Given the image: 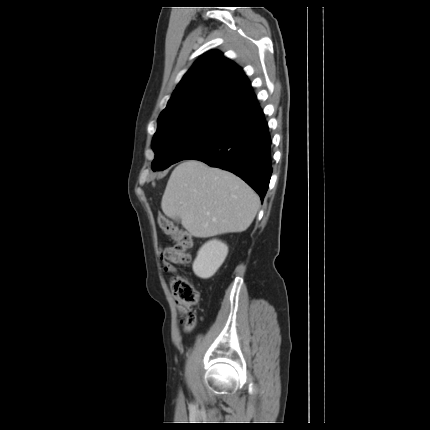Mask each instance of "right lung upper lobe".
<instances>
[{
	"label": "right lung upper lobe",
	"mask_w": 430,
	"mask_h": 430,
	"mask_svg": "<svg viewBox=\"0 0 430 430\" xmlns=\"http://www.w3.org/2000/svg\"><path fill=\"white\" fill-rule=\"evenodd\" d=\"M248 87L251 85L242 68L220 51H208L184 75L159 119L208 100H224L241 115L257 102Z\"/></svg>",
	"instance_id": "right-lung-upper-lobe-1"
}]
</instances>
